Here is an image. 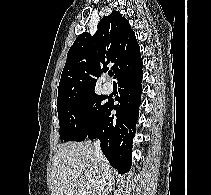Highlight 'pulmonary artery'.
<instances>
[{
    "mask_svg": "<svg viewBox=\"0 0 211 195\" xmlns=\"http://www.w3.org/2000/svg\"><path fill=\"white\" fill-rule=\"evenodd\" d=\"M103 90L105 93H110L112 91V84L108 81L104 82Z\"/></svg>",
    "mask_w": 211,
    "mask_h": 195,
    "instance_id": "obj_1",
    "label": "pulmonary artery"
}]
</instances>
